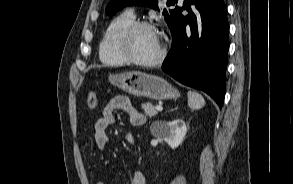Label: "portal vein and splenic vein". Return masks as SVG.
Returning <instances> with one entry per match:
<instances>
[{"label":"portal vein and splenic vein","mask_w":293,"mask_h":184,"mask_svg":"<svg viewBox=\"0 0 293 184\" xmlns=\"http://www.w3.org/2000/svg\"><path fill=\"white\" fill-rule=\"evenodd\" d=\"M156 110H157V111H162L163 108H162V106H157V107H156Z\"/></svg>","instance_id":"18ae733b"}]
</instances>
